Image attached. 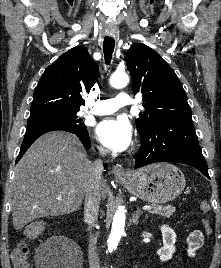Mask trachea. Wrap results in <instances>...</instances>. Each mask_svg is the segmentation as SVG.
Masks as SVG:
<instances>
[{
  "label": "trachea",
  "mask_w": 221,
  "mask_h": 268,
  "mask_svg": "<svg viewBox=\"0 0 221 268\" xmlns=\"http://www.w3.org/2000/svg\"><path fill=\"white\" fill-rule=\"evenodd\" d=\"M114 47H115V40L111 37H105L103 42V52L105 56L106 65H110Z\"/></svg>",
  "instance_id": "obj_1"
}]
</instances>
